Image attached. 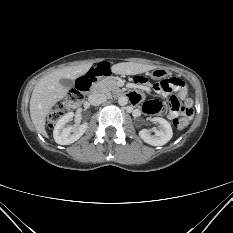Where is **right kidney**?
Listing matches in <instances>:
<instances>
[{
  "instance_id": "right-kidney-1",
  "label": "right kidney",
  "mask_w": 233,
  "mask_h": 233,
  "mask_svg": "<svg viewBox=\"0 0 233 233\" xmlns=\"http://www.w3.org/2000/svg\"><path fill=\"white\" fill-rule=\"evenodd\" d=\"M74 117L73 112L65 114L55 125L53 130V137L56 143L60 145H69L77 141L87 130L88 123L85 122L77 129L73 130L72 126H68ZM73 131V134L71 132Z\"/></svg>"
}]
</instances>
